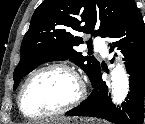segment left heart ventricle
Listing matches in <instances>:
<instances>
[{
  "label": "left heart ventricle",
  "mask_w": 145,
  "mask_h": 124,
  "mask_svg": "<svg viewBox=\"0 0 145 124\" xmlns=\"http://www.w3.org/2000/svg\"><path fill=\"white\" fill-rule=\"evenodd\" d=\"M79 90L77 81L63 70H48L36 76L28 85L23 107L27 114L57 110L73 100Z\"/></svg>",
  "instance_id": "1"
}]
</instances>
